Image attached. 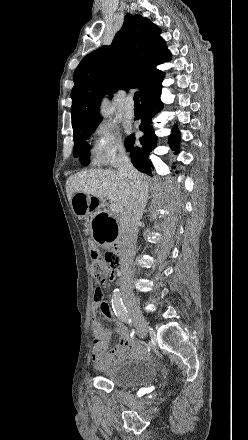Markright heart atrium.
Segmentation results:
<instances>
[{
	"label": "right heart atrium",
	"mask_w": 248,
	"mask_h": 440,
	"mask_svg": "<svg viewBox=\"0 0 248 440\" xmlns=\"http://www.w3.org/2000/svg\"><path fill=\"white\" fill-rule=\"evenodd\" d=\"M123 138L109 123L100 124L94 132L92 162L98 166L114 165L125 154Z\"/></svg>",
	"instance_id": "right-heart-atrium-1"
}]
</instances>
